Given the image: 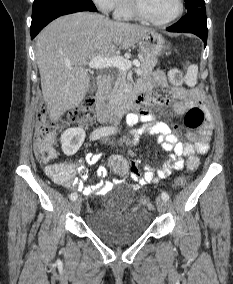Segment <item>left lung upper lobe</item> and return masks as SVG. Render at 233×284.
<instances>
[{
    "label": "left lung upper lobe",
    "instance_id": "5c2ea615",
    "mask_svg": "<svg viewBox=\"0 0 233 284\" xmlns=\"http://www.w3.org/2000/svg\"><path fill=\"white\" fill-rule=\"evenodd\" d=\"M185 1V7L188 10V13L191 12L193 9L202 7L205 5L204 0H184Z\"/></svg>",
    "mask_w": 233,
    "mask_h": 284
}]
</instances>
